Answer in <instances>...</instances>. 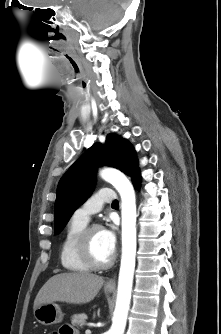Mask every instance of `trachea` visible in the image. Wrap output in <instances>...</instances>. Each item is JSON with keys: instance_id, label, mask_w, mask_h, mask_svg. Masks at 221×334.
Here are the masks:
<instances>
[{"instance_id": "trachea-1", "label": "trachea", "mask_w": 221, "mask_h": 334, "mask_svg": "<svg viewBox=\"0 0 221 334\" xmlns=\"http://www.w3.org/2000/svg\"><path fill=\"white\" fill-rule=\"evenodd\" d=\"M112 205H118V200H114Z\"/></svg>"}]
</instances>
